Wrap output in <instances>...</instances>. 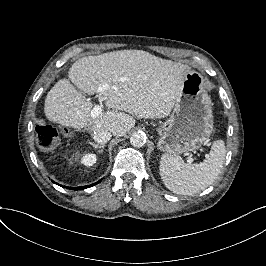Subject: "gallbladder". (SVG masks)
<instances>
[{"mask_svg":"<svg viewBox=\"0 0 266 266\" xmlns=\"http://www.w3.org/2000/svg\"><path fill=\"white\" fill-rule=\"evenodd\" d=\"M76 90H77L78 92L82 93V91H81L80 89L76 88Z\"/></svg>","mask_w":266,"mask_h":266,"instance_id":"gallbladder-1","label":"gallbladder"}]
</instances>
